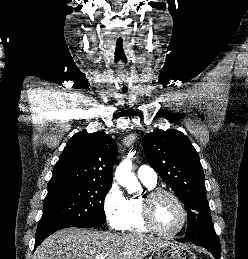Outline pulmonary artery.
Returning <instances> with one entry per match:
<instances>
[{
  "instance_id": "obj_1",
  "label": "pulmonary artery",
  "mask_w": 248,
  "mask_h": 259,
  "mask_svg": "<svg viewBox=\"0 0 248 259\" xmlns=\"http://www.w3.org/2000/svg\"><path fill=\"white\" fill-rule=\"evenodd\" d=\"M137 175L142 182H146L151 185H155L157 182V173L150 166H140L137 171Z\"/></svg>"
}]
</instances>
